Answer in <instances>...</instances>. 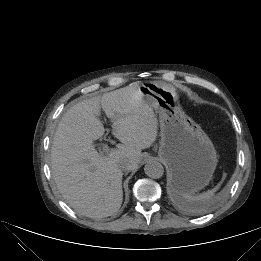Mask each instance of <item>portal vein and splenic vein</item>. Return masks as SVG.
<instances>
[{"label":"portal vein and splenic vein","mask_w":261,"mask_h":261,"mask_svg":"<svg viewBox=\"0 0 261 261\" xmlns=\"http://www.w3.org/2000/svg\"><path fill=\"white\" fill-rule=\"evenodd\" d=\"M109 147L107 144H103L102 145V150L100 152V155L104 156V155H107L109 153Z\"/></svg>","instance_id":"18ae733b"}]
</instances>
